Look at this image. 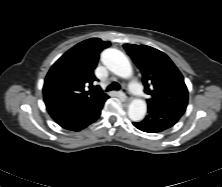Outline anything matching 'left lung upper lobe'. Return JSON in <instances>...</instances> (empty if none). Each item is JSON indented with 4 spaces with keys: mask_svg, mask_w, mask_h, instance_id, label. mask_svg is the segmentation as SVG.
<instances>
[{
    "mask_svg": "<svg viewBox=\"0 0 222 187\" xmlns=\"http://www.w3.org/2000/svg\"><path fill=\"white\" fill-rule=\"evenodd\" d=\"M124 48L142 73L148 106L176 103L187 105L188 90L184 78L163 52L146 45L124 44Z\"/></svg>",
    "mask_w": 222,
    "mask_h": 187,
    "instance_id": "1",
    "label": "left lung upper lobe"
}]
</instances>
